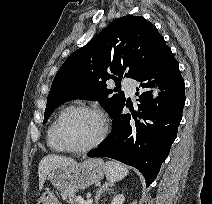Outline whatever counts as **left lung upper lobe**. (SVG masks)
I'll use <instances>...</instances> for the list:
<instances>
[{"label":"left lung upper lobe","mask_w":212,"mask_h":204,"mask_svg":"<svg viewBox=\"0 0 212 204\" xmlns=\"http://www.w3.org/2000/svg\"><path fill=\"white\" fill-rule=\"evenodd\" d=\"M167 48L157 28L141 16H124L112 21L72 53L58 70L43 123L55 108L75 98L97 100L112 115L126 101L120 90L123 73L126 71V77L135 79ZM109 78L115 80L113 90L107 89Z\"/></svg>","instance_id":"left-lung-upper-lobe-1"}]
</instances>
